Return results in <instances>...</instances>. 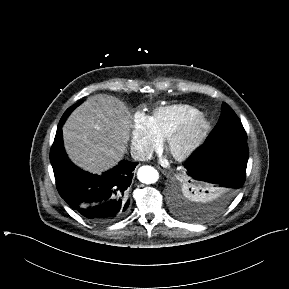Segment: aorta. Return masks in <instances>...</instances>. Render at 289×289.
I'll use <instances>...</instances> for the list:
<instances>
[{"mask_svg":"<svg viewBox=\"0 0 289 289\" xmlns=\"http://www.w3.org/2000/svg\"><path fill=\"white\" fill-rule=\"evenodd\" d=\"M137 177L142 183L152 184L158 180L159 174L157 170L151 166H142L138 170Z\"/></svg>","mask_w":289,"mask_h":289,"instance_id":"762f6f07","label":"aorta"}]
</instances>
